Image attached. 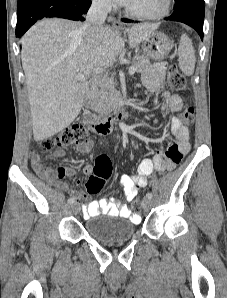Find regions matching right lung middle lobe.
<instances>
[{"instance_id": "1", "label": "right lung middle lobe", "mask_w": 227, "mask_h": 298, "mask_svg": "<svg viewBox=\"0 0 227 298\" xmlns=\"http://www.w3.org/2000/svg\"><path fill=\"white\" fill-rule=\"evenodd\" d=\"M27 1H29V0H18V6L25 3V2H27Z\"/></svg>"}]
</instances>
